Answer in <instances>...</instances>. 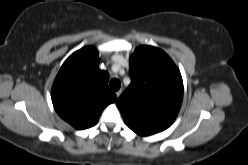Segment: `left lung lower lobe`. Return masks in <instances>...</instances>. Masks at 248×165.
Wrapping results in <instances>:
<instances>
[{
	"instance_id": "obj_1",
	"label": "left lung lower lobe",
	"mask_w": 248,
	"mask_h": 165,
	"mask_svg": "<svg viewBox=\"0 0 248 165\" xmlns=\"http://www.w3.org/2000/svg\"><path fill=\"white\" fill-rule=\"evenodd\" d=\"M137 134H139V135H144V134H141V133H139V132H136Z\"/></svg>"
}]
</instances>
